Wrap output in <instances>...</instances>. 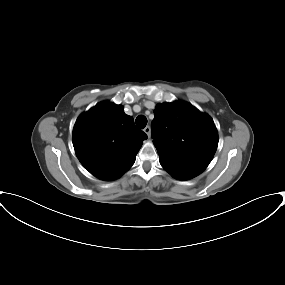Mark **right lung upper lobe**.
<instances>
[{
    "mask_svg": "<svg viewBox=\"0 0 285 285\" xmlns=\"http://www.w3.org/2000/svg\"><path fill=\"white\" fill-rule=\"evenodd\" d=\"M147 135L123 107L104 101L82 113L73 128V146L81 164L101 180H115L135 162Z\"/></svg>",
    "mask_w": 285,
    "mask_h": 285,
    "instance_id": "1",
    "label": "right lung upper lobe"
}]
</instances>
